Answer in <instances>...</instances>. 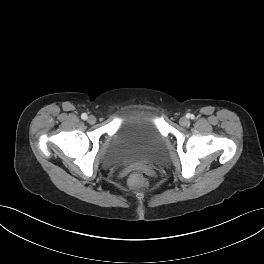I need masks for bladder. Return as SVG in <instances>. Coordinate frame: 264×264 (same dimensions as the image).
Listing matches in <instances>:
<instances>
[{
  "label": "bladder",
  "mask_w": 264,
  "mask_h": 264,
  "mask_svg": "<svg viewBox=\"0 0 264 264\" xmlns=\"http://www.w3.org/2000/svg\"><path fill=\"white\" fill-rule=\"evenodd\" d=\"M150 109H138L121 121L101 156L107 168L128 165H153L166 153V141Z\"/></svg>",
  "instance_id": "bladder-1"
}]
</instances>
